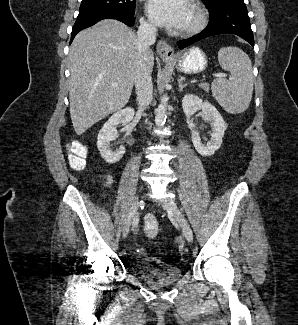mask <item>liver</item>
Wrapping results in <instances>:
<instances>
[{
  "instance_id": "6515ba94",
  "label": "liver",
  "mask_w": 298,
  "mask_h": 325,
  "mask_svg": "<svg viewBox=\"0 0 298 325\" xmlns=\"http://www.w3.org/2000/svg\"><path fill=\"white\" fill-rule=\"evenodd\" d=\"M138 54L137 34L113 18L76 34L68 54L70 116L76 134L126 106ZM148 64L153 68L152 50Z\"/></svg>"
}]
</instances>
